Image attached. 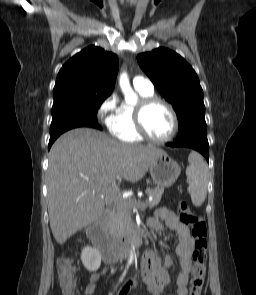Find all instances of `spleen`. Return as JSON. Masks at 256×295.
Wrapping results in <instances>:
<instances>
[{
	"mask_svg": "<svg viewBox=\"0 0 256 295\" xmlns=\"http://www.w3.org/2000/svg\"><path fill=\"white\" fill-rule=\"evenodd\" d=\"M189 166L186 169L189 181L188 193L192 203L199 207L207 196L208 167L203 157L197 152H191L188 157Z\"/></svg>",
	"mask_w": 256,
	"mask_h": 295,
	"instance_id": "1",
	"label": "spleen"
}]
</instances>
